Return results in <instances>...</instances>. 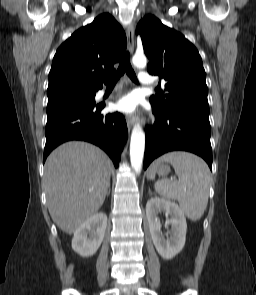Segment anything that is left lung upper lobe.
Returning <instances> with one entry per match:
<instances>
[{
    "instance_id": "left-lung-upper-lobe-1",
    "label": "left lung upper lobe",
    "mask_w": 256,
    "mask_h": 295,
    "mask_svg": "<svg viewBox=\"0 0 256 295\" xmlns=\"http://www.w3.org/2000/svg\"><path fill=\"white\" fill-rule=\"evenodd\" d=\"M136 33L149 58L148 72L166 81L167 93L151 96V105L162 112L188 108L209 113L206 74L196 47L153 15L139 22Z\"/></svg>"
}]
</instances>
